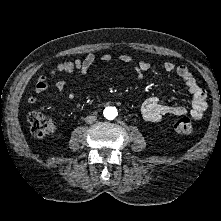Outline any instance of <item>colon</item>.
Listing matches in <instances>:
<instances>
[{"label": "colon", "instance_id": "5ec220e1", "mask_svg": "<svg viewBox=\"0 0 221 221\" xmlns=\"http://www.w3.org/2000/svg\"><path fill=\"white\" fill-rule=\"evenodd\" d=\"M31 132L35 137H45L55 132L56 124L49 116L41 112H31L28 115ZM175 131L180 134L192 132L193 125L189 118H181L174 124Z\"/></svg>", "mask_w": 221, "mask_h": 221}]
</instances>
